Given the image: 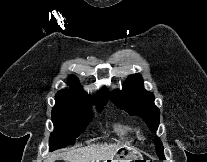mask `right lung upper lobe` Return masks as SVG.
<instances>
[{"label":"right lung upper lobe","instance_id":"1","mask_svg":"<svg viewBox=\"0 0 207 162\" xmlns=\"http://www.w3.org/2000/svg\"><path fill=\"white\" fill-rule=\"evenodd\" d=\"M69 80L71 82L70 89L60 90L56 96L58 97H69V98H77V99H88L85 92L81 89L80 85H78V80L75 76H69ZM109 92L106 88L101 90L98 93V100H108Z\"/></svg>","mask_w":207,"mask_h":162}]
</instances>
